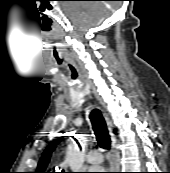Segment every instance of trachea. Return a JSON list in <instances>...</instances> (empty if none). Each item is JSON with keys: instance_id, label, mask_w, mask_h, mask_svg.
I'll return each instance as SVG.
<instances>
[{"instance_id": "obj_1", "label": "trachea", "mask_w": 170, "mask_h": 173, "mask_svg": "<svg viewBox=\"0 0 170 173\" xmlns=\"http://www.w3.org/2000/svg\"><path fill=\"white\" fill-rule=\"evenodd\" d=\"M89 118L99 146L103 149L109 148L111 140L101 112L98 109H94L90 112Z\"/></svg>"}]
</instances>
